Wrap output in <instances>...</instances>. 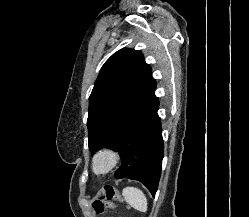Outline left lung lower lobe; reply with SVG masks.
I'll list each match as a JSON object with an SVG mask.
<instances>
[{
    "mask_svg": "<svg viewBox=\"0 0 249 217\" xmlns=\"http://www.w3.org/2000/svg\"><path fill=\"white\" fill-rule=\"evenodd\" d=\"M154 88L128 114L120 127L117 151L123 165L118 179L142 182L153 196L157 191L163 159V139L158 98Z\"/></svg>",
    "mask_w": 249,
    "mask_h": 217,
    "instance_id": "obj_1",
    "label": "left lung lower lobe"
}]
</instances>
